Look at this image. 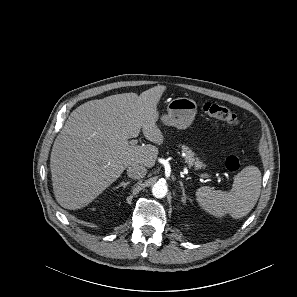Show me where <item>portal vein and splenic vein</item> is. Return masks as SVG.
Instances as JSON below:
<instances>
[{
	"instance_id": "1",
	"label": "portal vein and splenic vein",
	"mask_w": 297,
	"mask_h": 297,
	"mask_svg": "<svg viewBox=\"0 0 297 297\" xmlns=\"http://www.w3.org/2000/svg\"><path fill=\"white\" fill-rule=\"evenodd\" d=\"M130 144L131 145H136L137 144V140L130 141ZM200 177H202V178H214L213 175L208 174V173H202V174H200Z\"/></svg>"
}]
</instances>
